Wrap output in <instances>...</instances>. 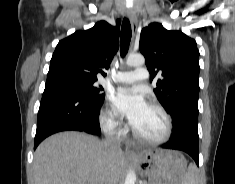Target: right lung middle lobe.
I'll return each mask as SVG.
<instances>
[{
    "label": "right lung middle lobe",
    "mask_w": 235,
    "mask_h": 184,
    "mask_svg": "<svg viewBox=\"0 0 235 184\" xmlns=\"http://www.w3.org/2000/svg\"><path fill=\"white\" fill-rule=\"evenodd\" d=\"M62 85L77 90L82 95L96 102L104 101L103 87H96L94 82L67 77L62 80Z\"/></svg>",
    "instance_id": "right-lung-middle-lobe-1"
}]
</instances>
